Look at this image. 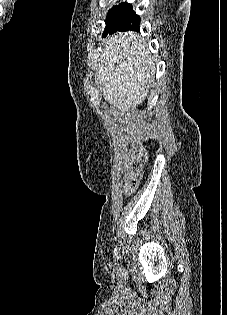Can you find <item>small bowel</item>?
<instances>
[{
	"label": "small bowel",
	"mask_w": 227,
	"mask_h": 315,
	"mask_svg": "<svg viewBox=\"0 0 227 315\" xmlns=\"http://www.w3.org/2000/svg\"><path fill=\"white\" fill-rule=\"evenodd\" d=\"M132 186L131 185H126L125 188H124V191L127 193V192H130L132 191Z\"/></svg>",
	"instance_id": "c3829d8e"
}]
</instances>
